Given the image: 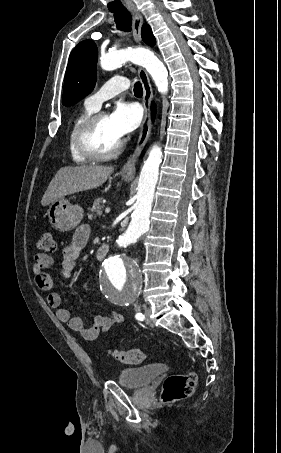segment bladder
<instances>
[{
  "label": "bladder",
  "mask_w": 281,
  "mask_h": 453,
  "mask_svg": "<svg viewBox=\"0 0 281 453\" xmlns=\"http://www.w3.org/2000/svg\"><path fill=\"white\" fill-rule=\"evenodd\" d=\"M167 371L163 364H151L124 370L118 377V383L127 388H142L149 385Z\"/></svg>",
  "instance_id": "31cf9c89"
}]
</instances>
